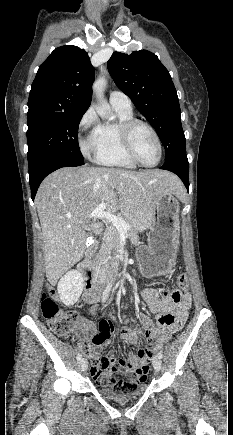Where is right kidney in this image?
<instances>
[{
    "mask_svg": "<svg viewBox=\"0 0 233 435\" xmlns=\"http://www.w3.org/2000/svg\"><path fill=\"white\" fill-rule=\"evenodd\" d=\"M84 286L83 276L79 271L67 272L58 282L57 290L62 303L66 306L74 305L82 294Z\"/></svg>",
    "mask_w": 233,
    "mask_h": 435,
    "instance_id": "1",
    "label": "right kidney"
}]
</instances>
